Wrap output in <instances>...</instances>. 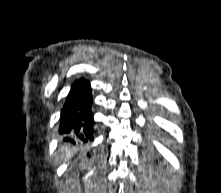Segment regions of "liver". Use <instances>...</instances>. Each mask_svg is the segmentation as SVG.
<instances>
[{"label": "liver", "instance_id": "obj_1", "mask_svg": "<svg viewBox=\"0 0 221 193\" xmlns=\"http://www.w3.org/2000/svg\"><path fill=\"white\" fill-rule=\"evenodd\" d=\"M76 152V149L71 148L68 145H65L63 147L60 148V159L62 160H69L73 154Z\"/></svg>", "mask_w": 221, "mask_h": 193}]
</instances>
